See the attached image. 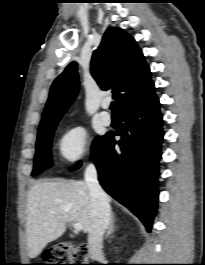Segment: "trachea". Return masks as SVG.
<instances>
[{"instance_id":"obj_1","label":"trachea","mask_w":205,"mask_h":265,"mask_svg":"<svg viewBox=\"0 0 205 265\" xmlns=\"http://www.w3.org/2000/svg\"><path fill=\"white\" fill-rule=\"evenodd\" d=\"M110 109H111V111H112L113 113H116V112H117V106H116V102H115V101H113V102L111 103Z\"/></svg>"}]
</instances>
